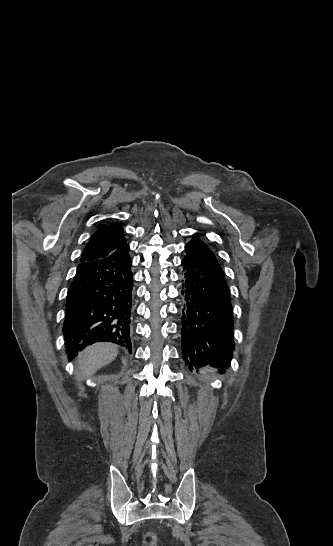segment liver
<instances>
[{
  "label": "liver",
  "mask_w": 333,
  "mask_h": 546,
  "mask_svg": "<svg viewBox=\"0 0 333 546\" xmlns=\"http://www.w3.org/2000/svg\"><path fill=\"white\" fill-rule=\"evenodd\" d=\"M117 348L109 343H97L85 348L78 357L79 377L87 379L101 367L111 363L117 356Z\"/></svg>",
  "instance_id": "liver-1"
}]
</instances>
